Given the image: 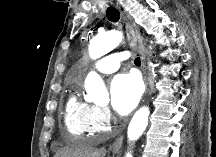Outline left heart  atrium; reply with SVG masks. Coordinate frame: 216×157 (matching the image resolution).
<instances>
[{"label":"left heart atrium","mask_w":216,"mask_h":157,"mask_svg":"<svg viewBox=\"0 0 216 157\" xmlns=\"http://www.w3.org/2000/svg\"><path fill=\"white\" fill-rule=\"evenodd\" d=\"M141 83L133 74H119L110 84V99L114 110L120 115L129 114L141 96Z\"/></svg>","instance_id":"left-heart-atrium-1"}]
</instances>
